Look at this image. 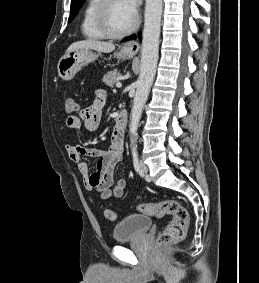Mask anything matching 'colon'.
<instances>
[{
	"label": "colon",
	"mask_w": 259,
	"mask_h": 283,
	"mask_svg": "<svg viewBox=\"0 0 259 283\" xmlns=\"http://www.w3.org/2000/svg\"><path fill=\"white\" fill-rule=\"evenodd\" d=\"M65 110L68 113L78 111V103L73 97L65 98ZM137 209L143 214L157 218L165 215L172 216V220L157 237L158 246L171 245L184 239L189 223V214L178 201L168 199L158 203H141L137 206ZM104 215L109 221L116 219L115 213L110 209L105 210Z\"/></svg>",
	"instance_id": "colon-1"
}]
</instances>
